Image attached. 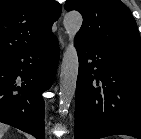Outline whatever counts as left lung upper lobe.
Returning <instances> with one entry per match:
<instances>
[{"instance_id": "obj_1", "label": "left lung upper lobe", "mask_w": 141, "mask_h": 139, "mask_svg": "<svg viewBox=\"0 0 141 139\" xmlns=\"http://www.w3.org/2000/svg\"><path fill=\"white\" fill-rule=\"evenodd\" d=\"M65 9L82 14L83 24L78 37L107 49L141 56L137 24L128 7L120 0H67Z\"/></svg>"}]
</instances>
